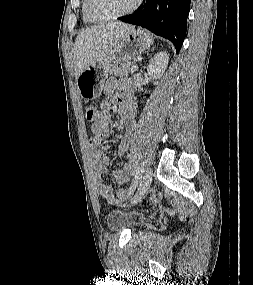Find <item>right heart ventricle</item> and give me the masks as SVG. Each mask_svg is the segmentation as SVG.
I'll return each mask as SVG.
<instances>
[{"instance_id": "right-heart-ventricle-1", "label": "right heart ventricle", "mask_w": 253, "mask_h": 285, "mask_svg": "<svg viewBox=\"0 0 253 285\" xmlns=\"http://www.w3.org/2000/svg\"><path fill=\"white\" fill-rule=\"evenodd\" d=\"M82 15H83L84 22H86V23H94V22H96V20L92 19L88 15L87 10H86V1L85 0L83 1V5H82Z\"/></svg>"}]
</instances>
